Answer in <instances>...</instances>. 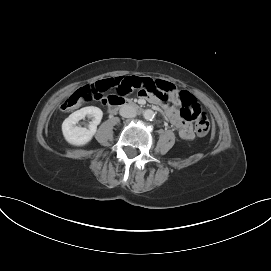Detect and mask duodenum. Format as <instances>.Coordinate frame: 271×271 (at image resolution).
I'll return each mask as SVG.
<instances>
[{
  "label": "duodenum",
  "instance_id": "410a0bca",
  "mask_svg": "<svg viewBox=\"0 0 271 271\" xmlns=\"http://www.w3.org/2000/svg\"><path fill=\"white\" fill-rule=\"evenodd\" d=\"M121 107H131L138 112L142 110L140 105L125 98L113 97L108 101V110L111 113L115 112Z\"/></svg>",
  "mask_w": 271,
  "mask_h": 271
}]
</instances>
